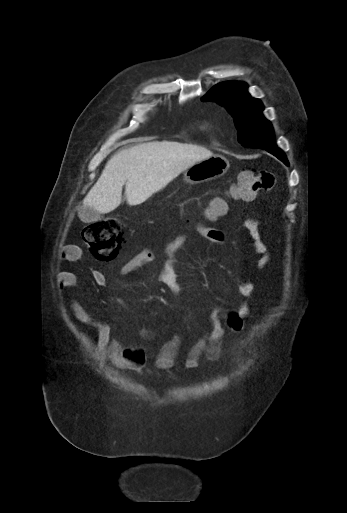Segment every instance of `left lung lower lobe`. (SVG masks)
I'll return each instance as SVG.
<instances>
[{
    "label": "left lung lower lobe",
    "mask_w": 347,
    "mask_h": 513,
    "mask_svg": "<svg viewBox=\"0 0 347 513\" xmlns=\"http://www.w3.org/2000/svg\"><path fill=\"white\" fill-rule=\"evenodd\" d=\"M267 151L270 152L271 154H273L274 156H276L281 161H283L287 166H289V163L285 157V154L283 153V151L281 149L275 148V149L267 150Z\"/></svg>",
    "instance_id": "obj_1"
}]
</instances>
